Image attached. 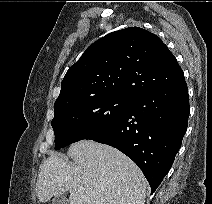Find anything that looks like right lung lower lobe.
<instances>
[{
	"label": "right lung lower lobe",
	"mask_w": 212,
	"mask_h": 204,
	"mask_svg": "<svg viewBox=\"0 0 212 204\" xmlns=\"http://www.w3.org/2000/svg\"><path fill=\"white\" fill-rule=\"evenodd\" d=\"M189 110L183 76L157 90L132 96L118 122L87 139L115 147L131 158L148 180L152 194L181 147Z\"/></svg>",
	"instance_id": "1"
}]
</instances>
